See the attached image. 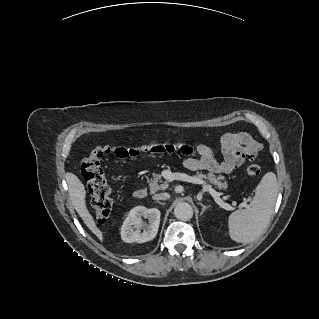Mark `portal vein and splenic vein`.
Instances as JSON below:
<instances>
[{
	"mask_svg": "<svg viewBox=\"0 0 319 319\" xmlns=\"http://www.w3.org/2000/svg\"><path fill=\"white\" fill-rule=\"evenodd\" d=\"M166 180L168 182H171L173 180H182V181H187V182H191V183H196V184H203L204 181H202L201 179L197 178V177H192L186 174H182V173H172L169 172L168 175L165 177ZM204 189L206 191H208L212 197L214 198L215 202L220 205L222 208L226 209V210H230L231 206L227 203H225L221 198V193L215 191L210 185L208 184H204ZM244 205L241 204L240 207H243Z\"/></svg>",
	"mask_w": 319,
	"mask_h": 319,
	"instance_id": "1",
	"label": "portal vein and splenic vein"
}]
</instances>
